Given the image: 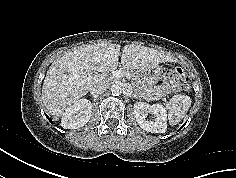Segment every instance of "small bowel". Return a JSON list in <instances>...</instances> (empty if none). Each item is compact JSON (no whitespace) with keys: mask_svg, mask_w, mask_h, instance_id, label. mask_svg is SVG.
I'll return each mask as SVG.
<instances>
[{"mask_svg":"<svg viewBox=\"0 0 236 178\" xmlns=\"http://www.w3.org/2000/svg\"><path fill=\"white\" fill-rule=\"evenodd\" d=\"M176 85L175 83L169 81V80H164L157 88V92L155 95L156 99L161 98L165 93L169 92L172 89H175Z\"/></svg>","mask_w":236,"mask_h":178,"instance_id":"small-bowel-1","label":"small bowel"}]
</instances>
